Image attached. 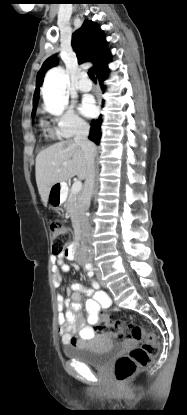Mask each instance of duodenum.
<instances>
[{"mask_svg":"<svg viewBox=\"0 0 187 415\" xmlns=\"http://www.w3.org/2000/svg\"><path fill=\"white\" fill-rule=\"evenodd\" d=\"M81 241V229L77 226L75 228V244L70 248L69 255L72 256L75 246Z\"/></svg>","mask_w":187,"mask_h":415,"instance_id":"410a0bca","label":"duodenum"}]
</instances>
